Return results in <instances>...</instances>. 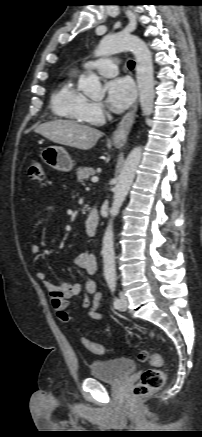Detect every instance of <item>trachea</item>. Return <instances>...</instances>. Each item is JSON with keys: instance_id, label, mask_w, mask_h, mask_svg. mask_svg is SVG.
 Masks as SVG:
<instances>
[{"instance_id": "obj_1", "label": "trachea", "mask_w": 202, "mask_h": 437, "mask_svg": "<svg viewBox=\"0 0 202 437\" xmlns=\"http://www.w3.org/2000/svg\"><path fill=\"white\" fill-rule=\"evenodd\" d=\"M134 66H135V62L132 61V60H130V61L128 62V67H129V69H133Z\"/></svg>"}]
</instances>
